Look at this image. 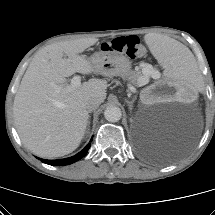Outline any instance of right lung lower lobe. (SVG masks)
Listing matches in <instances>:
<instances>
[{
	"label": "right lung lower lobe",
	"mask_w": 215,
	"mask_h": 215,
	"mask_svg": "<svg viewBox=\"0 0 215 215\" xmlns=\"http://www.w3.org/2000/svg\"><path fill=\"white\" fill-rule=\"evenodd\" d=\"M92 139L93 138H91L90 141H92ZM89 148H90V143L87 144V146L82 151L77 153L75 156H72L69 158H64V159H58V160H44V159H42V162L49 164V165H53V166L69 165V164H72V163L80 160L82 157H84L87 154Z\"/></svg>",
	"instance_id": "obj_1"
}]
</instances>
